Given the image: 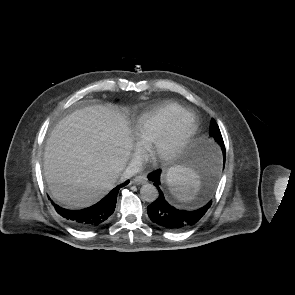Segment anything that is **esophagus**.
Wrapping results in <instances>:
<instances>
[{
  "label": "esophagus",
  "instance_id": "obj_1",
  "mask_svg": "<svg viewBox=\"0 0 295 295\" xmlns=\"http://www.w3.org/2000/svg\"><path fill=\"white\" fill-rule=\"evenodd\" d=\"M134 182L137 184H143L147 182V176L145 174L138 175L134 178Z\"/></svg>",
  "mask_w": 295,
  "mask_h": 295
}]
</instances>
